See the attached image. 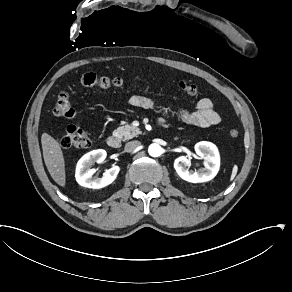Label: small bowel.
<instances>
[{
  "label": "small bowel",
  "instance_id": "1",
  "mask_svg": "<svg viewBox=\"0 0 292 292\" xmlns=\"http://www.w3.org/2000/svg\"><path fill=\"white\" fill-rule=\"evenodd\" d=\"M128 102L137 108L153 109L156 107L153 100L140 94L132 95ZM175 112L185 123L197 127H208L221 121L219 113L214 109L213 101L209 98L200 99L195 110L176 109Z\"/></svg>",
  "mask_w": 292,
  "mask_h": 292
}]
</instances>
